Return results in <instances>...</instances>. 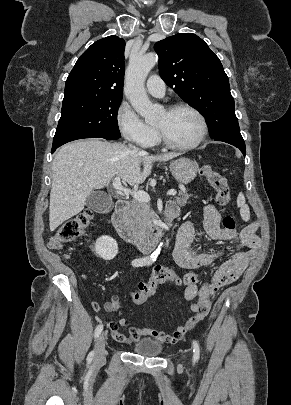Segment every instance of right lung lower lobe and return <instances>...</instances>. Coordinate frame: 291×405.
<instances>
[{
	"label": "right lung lower lobe",
	"instance_id": "1",
	"mask_svg": "<svg viewBox=\"0 0 291 405\" xmlns=\"http://www.w3.org/2000/svg\"><path fill=\"white\" fill-rule=\"evenodd\" d=\"M56 149H52V153L55 151Z\"/></svg>",
	"mask_w": 291,
	"mask_h": 405
}]
</instances>
